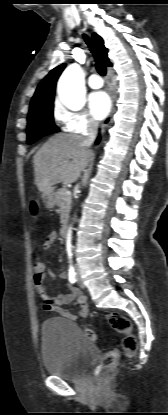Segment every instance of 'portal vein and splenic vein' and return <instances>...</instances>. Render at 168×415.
<instances>
[{
    "label": "portal vein and splenic vein",
    "mask_w": 168,
    "mask_h": 415,
    "mask_svg": "<svg viewBox=\"0 0 168 415\" xmlns=\"http://www.w3.org/2000/svg\"><path fill=\"white\" fill-rule=\"evenodd\" d=\"M65 163V161H63L61 164ZM65 194L70 195L71 192L69 190H66Z\"/></svg>",
    "instance_id": "obj_1"
}]
</instances>
